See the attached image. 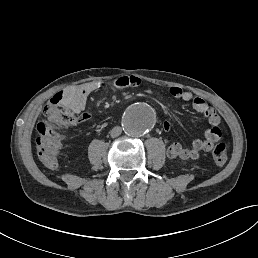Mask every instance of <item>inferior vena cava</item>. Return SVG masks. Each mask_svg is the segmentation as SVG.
Here are the masks:
<instances>
[{
	"mask_svg": "<svg viewBox=\"0 0 258 258\" xmlns=\"http://www.w3.org/2000/svg\"><path fill=\"white\" fill-rule=\"evenodd\" d=\"M121 132H122V128L120 126H115L110 131V136L112 138L118 137L121 134Z\"/></svg>",
	"mask_w": 258,
	"mask_h": 258,
	"instance_id": "1",
	"label": "inferior vena cava"
}]
</instances>
